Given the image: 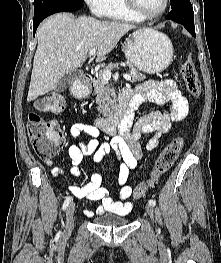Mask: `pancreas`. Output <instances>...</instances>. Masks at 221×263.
Wrapping results in <instances>:
<instances>
[{"instance_id":"pancreas-1","label":"pancreas","mask_w":221,"mask_h":263,"mask_svg":"<svg viewBox=\"0 0 221 263\" xmlns=\"http://www.w3.org/2000/svg\"><path fill=\"white\" fill-rule=\"evenodd\" d=\"M118 67V63H109L104 70H112ZM131 76V82L136 83L146 79V76L134 66L128 64ZM103 71H100L96 77V80L93 82L94 91L96 94V103L98 105L97 110L103 116H109L113 114L114 106L116 103L115 93L111 89V85L108 80L104 79Z\"/></svg>"}]
</instances>
